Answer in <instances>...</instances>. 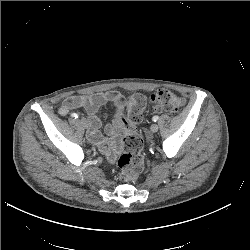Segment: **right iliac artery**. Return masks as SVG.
<instances>
[{
	"mask_svg": "<svg viewBox=\"0 0 250 250\" xmlns=\"http://www.w3.org/2000/svg\"><path fill=\"white\" fill-rule=\"evenodd\" d=\"M71 117H72L73 119H76V118H78L79 116H78V114H76V113H72V114H71Z\"/></svg>",
	"mask_w": 250,
	"mask_h": 250,
	"instance_id": "right-iliac-artery-1",
	"label": "right iliac artery"
}]
</instances>
